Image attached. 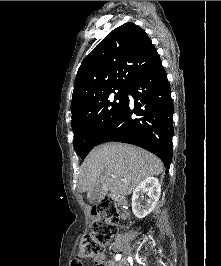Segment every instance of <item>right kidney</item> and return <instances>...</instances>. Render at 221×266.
I'll return each mask as SVG.
<instances>
[{
	"label": "right kidney",
	"mask_w": 221,
	"mask_h": 266,
	"mask_svg": "<svg viewBox=\"0 0 221 266\" xmlns=\"http://www.w3.org/2000/svg\"><path fill=\"white\" fill-rule=\"evenodd\" d=\"M144 194H147L149 199L145 200ZM161 194V185L156 177H147L133 191L132 195V210L134 215L142 219L146 217L155 208Z\"/></svg>",
	"instance_id": "ca27d5eb"
}]
</instances>
